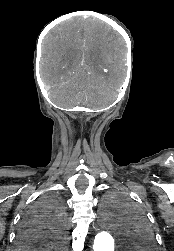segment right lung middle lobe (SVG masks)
Returning <instances> with one entry per match:
<instances>
[{"label":"right lung middle lobe","mask_w":174,"mask_h":251,"mask_svg":"<svg viewBox=\"0 0 174 251\" xmlns=\"http://www.w3.org/2000/svg\"><path fill=\"white\" fill-rule=\"evenodd\" d=\"M25 220L43 221L55 231L62 232L65 225V214L59 195L48 193L40 197L30 209Z\"/></svg>","instance_id":"1"}]
</instances>
